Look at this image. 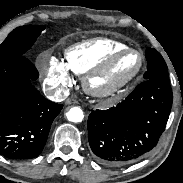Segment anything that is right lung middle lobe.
<instances>
[{"instance_id": "obj_1", "label": "right lung middle lobe", "mask_w": 183, "mask_h": 183, "mask_svg": "<svg viewBox=\"0 0 183 183\" xmlns=\"http://www.w3.org/2000/svg\"><path fill=\"white\" fill-rule=\"evenodd\" d=\"M44 29L43 25H26L14 29L0 45V62L25 55Z\"/></svg>"}]
</instances>
